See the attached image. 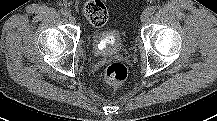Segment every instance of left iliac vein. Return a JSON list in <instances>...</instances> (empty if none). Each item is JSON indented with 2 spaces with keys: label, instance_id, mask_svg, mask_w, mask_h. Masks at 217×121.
<instances>
[{
  "label": "left iliac vein",
  "instance_id": "left-iliac-vein-1",
  "mask_svg": "<svg viewBox=\"0 0 217 121\" xmlns=\"http://www.w3.org/2000/svg\"><path fill=\"white\" fill-rule=\"evenodd\" d=\"M150 17V13L148 12V10H145L142 14H141V21L142 22H147L149 20Z\"/></svg>",
  "mask_w": 217,
  "mask_h": 121
}]
</instances>
